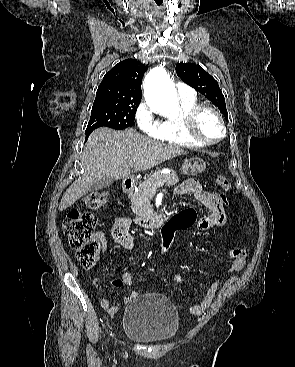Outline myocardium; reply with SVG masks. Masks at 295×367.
<instances>
[{
	"label": "myocardium",
	"mask_w": 295,
	"mask_h": 367,
	"mask_svg": "<svg viewBox=\"0 0 295 367\" xmlns=\"http://www.w3.org/2000/svg\"><path fill=\"white\" fill-rule=\"evenodd\" d=\"M208 111L211 112L219 121L222 129L221 135L213 140H208L202 137L198 130V123L200 116L203 112ZM183 125L186 130V133L188 136L195 142L203 145V146H210L219 143L222 141L227 133V128L225 121L220 114V112L215 109L214 107L207 105V104H197L194 107H192L190 110H188L184 116H183Z\"/></svg>",
	"instance_id": "obj_1"
}]
</instances>
